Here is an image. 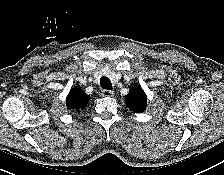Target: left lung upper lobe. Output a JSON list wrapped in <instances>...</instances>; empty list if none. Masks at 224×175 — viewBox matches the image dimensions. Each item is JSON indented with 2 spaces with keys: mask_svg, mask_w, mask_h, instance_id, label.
<instances>
[{
  "mask_svg": "<svg viewBox=\"0 0 224 175\" xmlns=\"http://www.w3.org/2000/svg\"><path fill=\"white\" fill-rule=\"evenodd\" d=\"M125 103L135 113L143 112L147 105V96L139 86L131 88L125 96Z\"/></svg>",
  "mask_w": 224,
  "mask_h": 175,
  "instance_id": "left-lung-upper-lobe-1",
  "label": "left lung upper lobe"
}]
</instances>
